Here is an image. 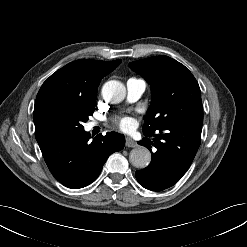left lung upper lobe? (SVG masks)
Wrapping results in <instances>:
<instances>
[{"mask_svg": "<svg viewBox=\"0 0 247 247\" xmlns=\"http://www.w3.org/2000/svg\"><path fill=\"white\" fill-rule=\"evenodd\" d=\"M129 67L151 85V107L144 116V134H152L174 122L202 125L199 85L178 61L164 55L129 63Z\"/></svg>", "mask_w": 247, "mask_h": 247, "instance_id": "5c2ea615", "label": "left lung upper lobe"}]
</instances>
